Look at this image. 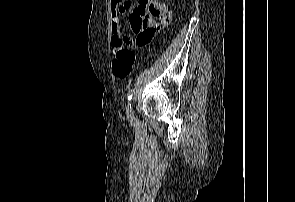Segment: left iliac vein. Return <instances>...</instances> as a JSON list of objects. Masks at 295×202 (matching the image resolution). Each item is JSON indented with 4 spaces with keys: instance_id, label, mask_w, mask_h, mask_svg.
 <instances>
[{
    "instance_id": "1",
    "label": "left iliac vein",
    "mask_w": 295,
    "mask_h": 202,
    "mask_svg": "<svg viewBox=\"0 0 295 202\" xmlns=\"http://www.w3.org/2000/svg\"><path fill=\"white\" fill-rule=\"evenodd\" d=\"M127 116L129 118H132L133 117V110H132V106L131 104L129 103L128 106H127Z\"/></svg>"
}]
</instances>
